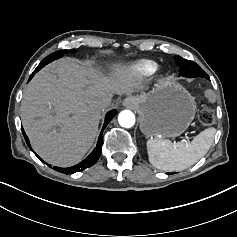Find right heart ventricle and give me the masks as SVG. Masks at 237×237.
Segmentation results:
<instances>
[{
  "label": "right heart ventricle",
  "mask_w": 237,
  "mask_h": 237,
  "mask_svg": "<svg viewBox=\"0 0 237 237\" xmlns=\"http://www.w3.org/2000/svg\"><path fill=\"white\" fill-rule=\"evenodd\" d=\"M141 66L144 68V67H146L147 65H146V64H142Z\"/></svg>",
  "instance_id": "1"
}]
</instances>
